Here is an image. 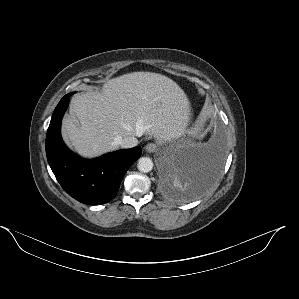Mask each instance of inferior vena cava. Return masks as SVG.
<instances>
[{"label":"inferior vena cava","instance_id":"602c4592","mask_svg":"<svg viewBox=\"0 0 299 299\" xmlns=\"http://www.w3.org/2000/svg\"><path fill=\"white\" fill-rule=\"evenodd\" d=\"M114 143L120 145L122 148H132L137 146L138 140L134 136L117 137Z\"/></svg>","mask_w":299,"mask_h":299}]
</instances>
